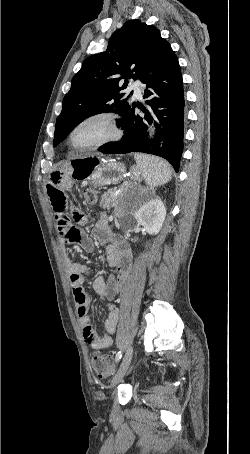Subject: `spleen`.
I'll return each instance as SVG.
<instances>
[{
    "label": "spleen",
    "instance_id": "3e777b00",
    "mask_svg": "<svg viewBox=\"0 0 250 454\" xmlns=\"http://www.w3.org/2000/svg\"><path fill=\"white\" fill-rule=\"evenodd\" d=\"M134 158L138 171L151 188L164 185L171 180V167L165 160L145 154H135Z\"/></svg>",
    "mask_w": 250,
    "mask_h": 454
}]
</instances>
